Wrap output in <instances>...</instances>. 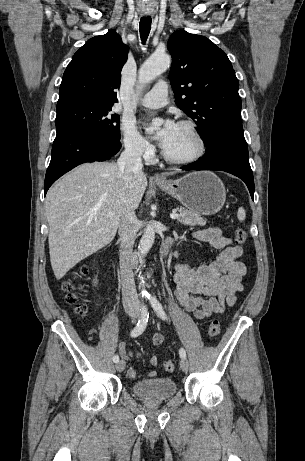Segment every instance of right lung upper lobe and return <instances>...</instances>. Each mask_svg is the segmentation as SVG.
<instances>
[{"label": "right lung upper lobe", "mask_w": 305, "mask_h": 461, "mask_svg": "<svg viewBox=\"0 0 305 461\" xmlns=\"http://www.w3.org/2000/svg\"><path fill=\"white\" fill-rule=\"evenodd\" d=\"M127 55L128 46L114 30L88 40L64 72L57 107L79 102L113 105Z\"/></svg>", "instance_id": "obj_1"}]
</instances>
